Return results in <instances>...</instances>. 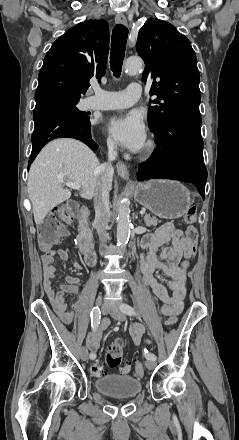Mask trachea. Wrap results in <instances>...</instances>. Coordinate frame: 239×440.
Returning a JSON list of instances; mask_svg holds the SVG:
<instances>
[{"label": "trachea", "instance_id": "trachea-1", "mask_svg": "<svg viewBox=\"0 0 239 440\" xmlns=\"http://www.w3.org/2000/svg\"><path fill=\"white\" fill-rule=\"evenodd\" d=\"M128 29L124 25H116L112 31L110 68L114 77L119 78L122 70Z\"/></svg>", "mask_w": 239, "mask_h": 440}]
</instances>
